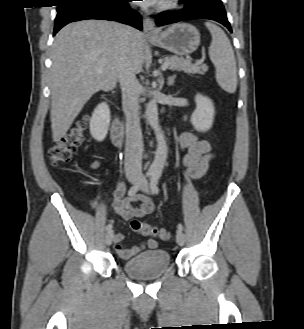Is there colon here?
<instances>
[{
  "label": "colon",
  "mask_w": 304,
  "mask_h": 329,
  "mask_svg": "<svg viewBox=\"0 0 304 329\" xmlns=\"http://www.w3.org/2000/svg\"><path fill=\"white\" fill-rule=\"evenodd\" d=\"M88 126V116L79 119L70 130L58 139L49 150V159L55 166L68 163L82 144ZM131 229L140 235L168 240L171 232L159 226L150 225L138 219H132Z\"/></svg>",
  "instance_id": "5ec220e1"
}]
</instances>
